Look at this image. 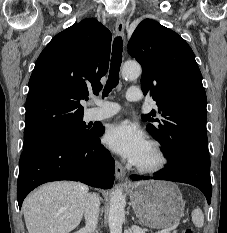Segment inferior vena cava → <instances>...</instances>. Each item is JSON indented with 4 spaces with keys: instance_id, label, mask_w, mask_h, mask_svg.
<instances>
[{
    "instance_id": "602c4592",
    "label": "inferior vena cava",
    "mask_w": 227,
    "mask_h": 233,
    "mask_svg": "<svg viewBox=\"0 0 227 233\" xmlns=\"http://www.w3.org/2000/svg\"><path fill=\"white\" fill-rule=\"evenodd\" d=\"M100 200L96 194H89L84 210L86 221L85 230L88 233H95L98 224Z\"/></svg>"
}]
</instances>
